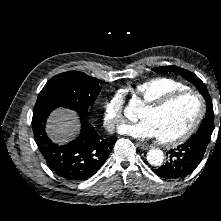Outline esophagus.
Here are the masks:
<instances>
[{
    "label": "esophagus",
    "mask_w": 221,
    "mask_h": 221,
    "mask_svg": "<svg viewBox=\"0 0 221 221\" xmlns=\"http://www.w3.org/2000/svg\"><path fill=\"white\" fill-rule=\"evenodd\" d=\"M137 147H139L140 149L146 150L149 148V145L141 143V142H137L136 143Z\"/></svg>",
    "instance_id": "1"
}]
</instances>
